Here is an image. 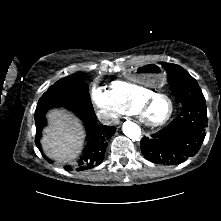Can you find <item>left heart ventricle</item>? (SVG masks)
Returning <instances> with one entry per match:
<instances>
[{"mask_svg":"<svg viewBox=\"0 0 221 221\" xmlns=\"http://www.w3.org/2000/svg\"><path fill=\"white\" fill-rule=\"evenodd\" d=\"M170 103L164 98L154 100L146 110V116L151 121H159L167 116Z\"/></svg>","mask_w":221,"mask_h":221,"instance_id":"b2bd125f","label":"left heart ventricle"}]
</instances>
